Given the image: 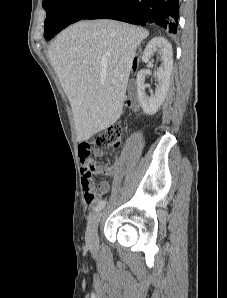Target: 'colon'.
<instances>
[{
    "label": "colon",
    "mask_w": 227,
    "mask_h": 298,
    "mask_svg": "<svg viewBox=\"0 0 227 298\" xmlns=\"http://www.w3.org/2000/svg\"><path fill=\"white\" fill-rule=\"evenodd\" d=\"M95 142L100 148H118L122 142V131L118 126H111L99 133ZM98 199L99 194L96 191L86 188L85 200L88 204H94Z\"/></svg>",
    "instance_id": "colon-1"
}]
</instances>
